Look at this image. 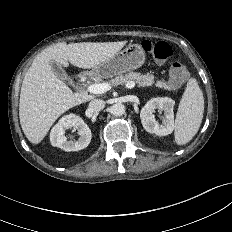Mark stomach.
Wrapping results in <instances>:
<instances>
[{
  "label": "stomach",
  "mask_w": 232,
  "mask_h": 232,
  "mask_svg": "<svg viewBox=\"0 0 232 232\" xmlns=\"http://www.w3.org/2000/svg\"><path fill=\"white\" fill-rule=\"evenodd\" d=\"M145 62V52L139 44H129L110 59L98 64L92 73L104 78L121 75L141 67Z\"/></svg>",
  "instance_id": "1"
}]
</instances>
